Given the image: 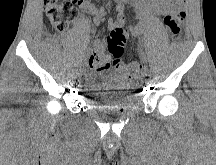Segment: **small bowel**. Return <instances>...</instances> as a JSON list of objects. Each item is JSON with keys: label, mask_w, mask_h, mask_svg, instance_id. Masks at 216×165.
Returning <instances> with one entry per match:
<instances>
[{"label": "small bowel", "mask_w": 216, "mask_h": 165, "mask_svg": "<svg viewBox=\"0 0 216 165\" xmlns=\"http://www.w3.org/2000/svg\"><path fill=\"white\" fill-rule=\"evenodd\" d=\"M128 0H116L117 2V17L114 20H110L109 26L111 28L117 26H124L126 24V18L123 14V5ZM183 0H151L148 3L147 0H136L135 8L141 14L142 19L134 24L130 25V30L134 36H138L143 33L145 24L149 20L152 13L168 14L174 9L178 8ZM89 10L95 15V23L99 24L103 21L105 16L104 9H95L90 7ZM104 52V42L97 41L94 46V53Z\"/></svg>", "instance_id": "c3829d8e"}]
</instances>
